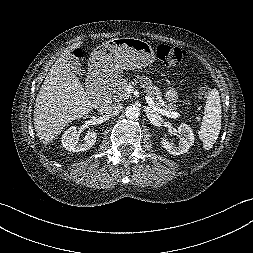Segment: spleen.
Wrapping results in <instances>:
<instances>
[{"label": "spleen", "mask_w": 253, "mask_h": 253, "mask_svg": "<svg viewBox=\"0 0 253 253\" xmlns=\"http://www.w3.org/2000/svg\"><path fill=\"white\" fill-rule=\"evenodd\" d=\"M221 100L216 89L211 90L207 97L200 138L203 148L209 150L215 144L221 130Z\"/></svg>", "instance_id": "spleen-1"}]
</instances>
